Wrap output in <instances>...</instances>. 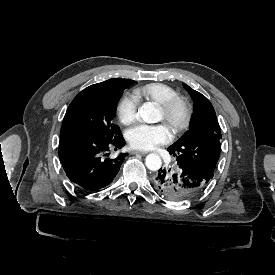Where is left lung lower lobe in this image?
Instances as JSON below:
<instances>
[{"instance_id": "left-lung-lower-lobe-1", "label": "left lung lower lobe", "mask_w": 275, "mask_h": 275, "mask_svg": "<svg viewBox=\"0 0 275 275\" xmlns=\"http://www.w3.org/2000/svg\"><path fill=\"white\" fill-rule=\"evenodd\" d=\"M208 182L183 165L174 171L161 168L153 180L155 189L168 200L193 198L204 191Z\"/></svg>"}]
</instances>
